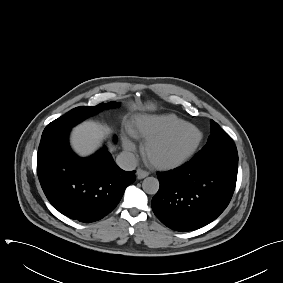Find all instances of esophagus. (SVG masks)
Segmentation results:
<instances>
[{
	"label": "esophagus",
	"mask_w": 283,
	"mask_h": 283,
	"mask_svg": "<svg viewBox=\"0 0 283 283\" xmlns=\"http://www.w3.org/2000/svg\"><path fill=\"white\" fill-rule=\"evenodd\" d=\"M149 175V172L143 170V169H137L136 176L137 179H143Z\"/></svg>",
	"instance_id": "obj_1"
}]
</instances>
